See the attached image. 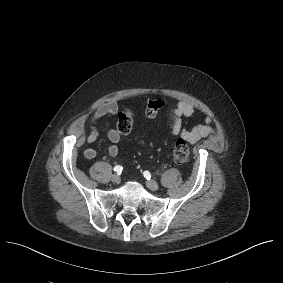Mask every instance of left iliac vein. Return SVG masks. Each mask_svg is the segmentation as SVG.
<instances>
[{"label": "left iliac vein", "mask_w": 283, "mask_h": 283, "mask_svg": "<svg viewBox=\"0 0 283 283\" xmlns=\"http://www.w3.org/2000/svg\"><path fill=\"white\" fill-rule=\"evenodd\" d=\"M147 187L151 190H157L158 189V183L153 180H147L146 181Z\"/></svg>", "instance_id": "1"}]
</instances>
